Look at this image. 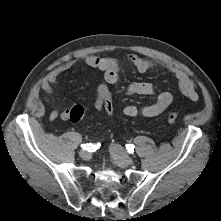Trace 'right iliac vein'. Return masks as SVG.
I'll list each match as a JSON object with an SVG mask.
<instances>
[{
  "mask_svg": "<svg viewBox=\"0 0 221 221\" xmlns=\"http://www.w3.org/2000/svg\"><path fill=\"white\" fill-rule=\"evenodd\" d=\"M80 157L83 160H89L91 158V154L87 150H81L80 151Z\"/></svg>",
  "mask_w": 221,
  "mask_h": 221,
  "instance_id": "63e3f726",
  "label": "right iliac vein"
}]
</instances>
